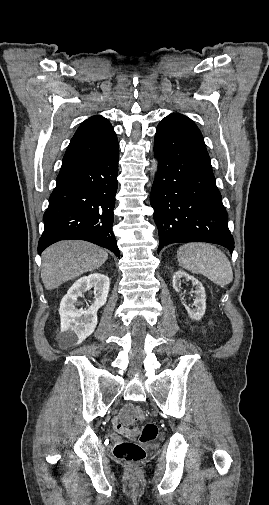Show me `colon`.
<instances>
[{"label": "colon", "mask_w": 269, "mask_h": 505, "mask_svg": "<svg viewBox=\"0 0 269 505\" xmlns=\"http://www.w3.org/2000/svg\"><path fill=\"white\" fill-rule=\"evenodd\" d=\"M135 418L142 419L143 413L140 408L134 409ZM157 436V426L148 422L143 425L139 443L133 441H120L114 447V456L116 459L127 464H138L146 455L143 444L152 442Z\"/></svg>", "instance_id": "obj_1"}]
</instances>
